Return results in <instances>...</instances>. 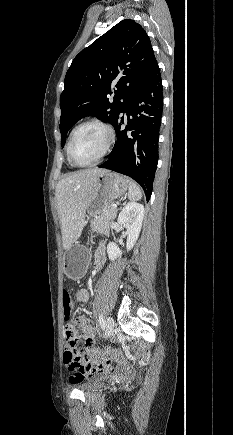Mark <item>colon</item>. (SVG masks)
Wrapping results in <instances>:
<instances>
[{"label":"colon","mask_w":233,"mask_h":435,"mask_svg":"<svg viewBox=\"0 0 233 435\" xmlns=\"http://www.w3.org/2000/svg\"><path fill=\"white\" fill-rule=\"evenodd\" d=\"M61 301L63 307V317L64 320L68 322L72 316L73 304L69 291L66 288L62 290ZM65 337L67 341V349L64 353L63 361L69 370H73L75 367L81 364L83 358L82 349L78 347L80 341V333L75 326L67 324L65 326ZM107 354V351L96 352L94 354L95 361L90 363L87 366L86 370L99 372L102 365V359Z\"/></svg>","instance_id":"colon-1"}]
</instances>
